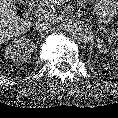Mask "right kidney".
Listing matches in <instances>:
<instances>
[{"label":"right kidney","instance_id":"right-kidney-1","mask_svg":"<svg viewBox=\"0 0 118 118\" xmlns=\"http://www.w3.org/2000/svg\"><path fill=\"white\" fill-rule=\"evenodd\" d=\"M34 47L35 45L29 38H16L13 40V43L6 48L5 56L7 59L19 63L30 57Z\"/></svg>","mask_w":118,"mask_h":118}]
</instances>
